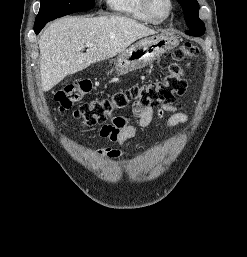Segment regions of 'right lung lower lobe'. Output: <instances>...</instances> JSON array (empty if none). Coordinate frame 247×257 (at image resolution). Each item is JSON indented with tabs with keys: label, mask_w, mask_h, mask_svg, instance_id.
<instances>
[{
	"label": "right lung lower lobe",
	"mask_w": 247,
	"mask_h": 257,
	"mask_svg": "<svg viewBox=\"0 0 247 257\" xmlns=\"http://www.w3.org/2000/svg\"><path fill=\"white\" fill-rule=\"evenodd\" d=\"M49 21L41 22L38 24H34V31L36 34H39V32L42 30V28L46 25V23Z\"/></svg>",
	"instance_id": "98d812e1"
}]
</instances>
